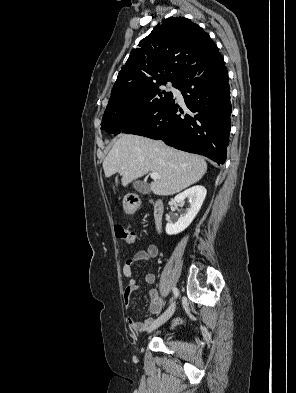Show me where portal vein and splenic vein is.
I'll return each mask as SVG.
<instances>
[{
  "label": "portal vein and splenic vein",
  "mask_w": 296,
  "mask_h": 393,
  "mask_svg": "<svg viewBox=\"0 0 296 393\" xmlns=\"http://www.w3.org/2000/svg\"><path fill=\"white\" fill-rule=\"evenodd\" d=\"M150 177H151L153 180L161 179L160 175H159L158 173H155V172H152V173L150 174Z\"/></svg>",
  "instance_id": "obj_1"
}]
</instances>
